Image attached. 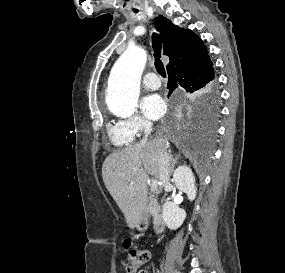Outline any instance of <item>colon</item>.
Segmentation results:
<instances>
[{
    "label": "colon",
    "mask_w": 285,
    "mask_h": 273,
    "mask_svg": "<svg viewBox=\"0 0 285 273\" xmlns=\"http://www.w3.org/2000/svg\"><path fill=\"white\" fill-rule=\"evenodd\" d=\"M124 246L127 250V258L125 260L126 272L136 273L138 269L148 262L150 253L146 248L133 247L131 240H126Z\"/></svg>",
    "instance_id": "obj_1"
}]
</instances>
